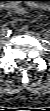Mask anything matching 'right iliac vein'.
Wrapping results in <instances>:
<instances>
[{
    "label": "right iliac vein",
    "mask_w": 50,
    "mask_h": 111,
    "mask_svg": "<svg viewBox=\"0 0 50 111\" xmlns=\"http://www.w3.org/2000/svg\"><path fill=\"white\" fill-rule=\"evenodd\" d=\"M1 34H2V32H1ZM2 36V42H5L6 40H7V37L5 36V35H1Z\"/></svg>",
    "instance_id": "obj_1"
}]
</instances>
